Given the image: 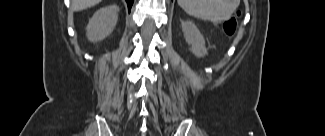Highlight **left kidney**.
<instances>
[{"label": "left kidney", "instance_id": "obj_1", "mask_svg": "<svg viewBox=\"0 0 325 136\" xmlns=\"http://www.w3.org/2000/svg\"><path fill=\"white\" fill-rule=\"evenodd\" d=\"M184 37L188 45L191 46V51L197 57H204L207 54L205 40L199 29L191 21H181Z\"/></svg>", "mask_w": 325, "mask_h": 136}]
</instances>
